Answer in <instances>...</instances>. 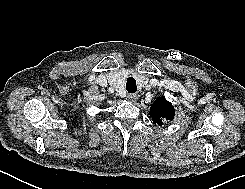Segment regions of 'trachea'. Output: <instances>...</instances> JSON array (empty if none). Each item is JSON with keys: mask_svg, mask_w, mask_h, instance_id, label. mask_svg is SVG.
<instances>
[{"mask_svg": "<svg viewBox=\"0 0 245 189\" xmlns=\"http://www.w3.org/2000/svg\"><path fill=\"white\" fill-rule=\"evenodd\" d=\"M126 89L129 93H135L137 91L136 81L133 77L127 78Z\"/></svg>", "mask_w": 245, "mask_h": 189, "instance_id": "obj_1", "label": "trachea"}]
</instances>
